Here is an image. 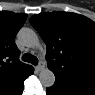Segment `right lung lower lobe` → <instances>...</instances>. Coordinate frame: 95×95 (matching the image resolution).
<instances>
[{
	"instance_id": "1",
	"label": "right lung lower lobe",
	"mask_w": 95,
	"mask_h": 95,
	"mask_svg": "<svg viewBox=\"0 0 95 95\" xmlns=\"http://www.w3.org/2000/svg\"><path fill=\"white\" fill-rule=\"evenodd\" d=\"M22 92H23V87L15 95H21Z\"/></svg>"
}]
</instances>
